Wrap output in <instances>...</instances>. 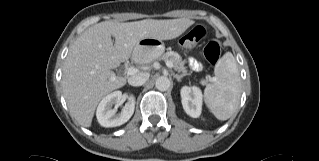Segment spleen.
<instances>
[{
  "label": "spleen",
  "instance_id": "1",
  "mask_svg": "<svg viewBox=\"0 0 319 161\" xmlns=\"http://www.w3.org/2000/svg\"><path fill=\"white\" fill-rule=\"evenodd\" d=\"M215 81L204 91L207 107L219 120L229 119L236 111L241 96V79L232 53H225L215 66Z\"/></svg>",
  "mask_w": 319,
  "mask_h": 161
}]
</instances>
